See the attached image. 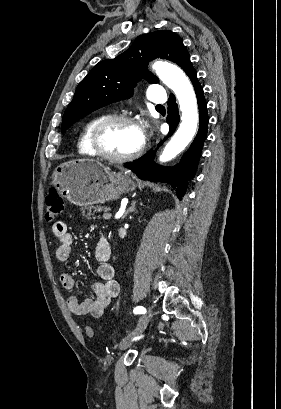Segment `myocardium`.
<instances>
[{"instance_id": "f54148a6", "label": "myocardium", "mask_w": 281, "mask_h": 409, "mask_svg": "<svg viewBox=\"0 0 281 409\" xmlns=\"http://www.w3.org/2000/svg\"><path fill=\"white\" fill-rule=\"evenodd\" d=\"M117 123H125L134 126L142 133V142L141 145L136 149L134 152L124 155V156H112L107 153L103 147L102 140L105 131L112 125ZM93 144L97 154L105 160L114 163H125L132 160H135L139 156H141L146 147V138L144 135L143 128L138 120L126 116V115H111L103 120H101L95 128L94 136H93Z\"/></svg>"}]
</instances>
